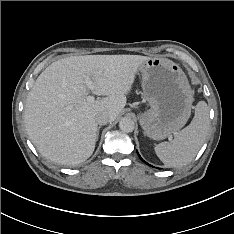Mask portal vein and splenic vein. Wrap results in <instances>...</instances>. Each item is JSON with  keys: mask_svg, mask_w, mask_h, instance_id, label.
<instances>
[{"mask_svg": "<svg viewBox=\"0 0 234 234\" xmlns=\"http://www.w3.org/2000/svg\"><path fill=\"white\" fill-rule=\"evenodd\" d=\"M85 83H86L89 90L93 91L95 89L94 83L89 78L85 79ZM94 99L95 98L92 95L87 96V101H89V102L94 101Z\"/></svg>", "mask_w": 234, "mask_h": 234, "instance_id": "obj_1", "label": "portal vein and splenic vein"}]
</instances>
